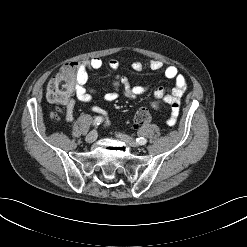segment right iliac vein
I'll list each match as a JSON object with an SVG mask.
<instances>
[{
	"label": "right iliac vein",
	"instance_id": "right-iliac-vein-1",
	"mask_svg": "<svg viewBox=\"0 0 247 247\" xmlns=\"http://www.w3.org/2000/svg\"><path fill=\"white\" fill-rule=\"evenodd\" d=\"M97 136H98L97 131L93 130L86 136L85 140L88 143H93L97 139Z\"/></svg>",
	"mask_w": 247,
	"mask_h": 247
}]
</instances>
